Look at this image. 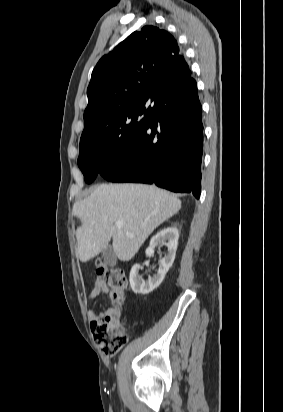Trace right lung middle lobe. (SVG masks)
<instances>
[{"instance_id": "1", "label": "right lung middle lobe", "mask_w": 283, "mask_h": 412, "mask_svg": "<svg viewBox=\"0 0 283 412\" xmlns=\"http://www.w3.org/2000/svg\"><path fill=\"white\" fill-rule=\"evenodd\" d=\"M159 102L136 104L115 116L102 130L80 140L78 166L86 183L134 145Z\"/></svg>"}]
</instances>
